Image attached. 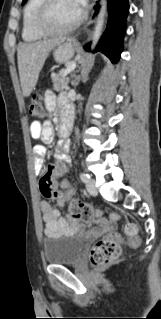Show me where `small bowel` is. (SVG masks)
Segmentation results:
<instances>
[{"mask_svg": "<svg viewBox=\"0 0 161 319\" xmlns=\"http://www.w3.org/2000/svg\"><path fill=\"white\" fill-rule=\"evenodd\" d=\"M59 105L62 118L72 117V109L68 103L67 97L65 95L57 96L52 91H47L45 94V106L50 112L56 109V105ZM30 137L33 140H40L44 144H51L54 141V130L48 122L33 121L30 126ZM68 145L64 144L62 141L59 142L57 148L56 163L49 164L47 169L53 175H60L66 170L71 162V157L68 155ZM34 153V168L37 173H40L44 166V157L46 155V150L41 144L33 145ZM74 199V190L67 189L63 194V197L57 199V204L60 207L65 206ZM40 212L45 224V234L46 235H57L60 233L71 235L77 231H82L84 229L83 225L79 224L76 220L68 221L66 218L62 217L57 209H53L50 202L42 200L39 204ZM100 227L99 229L89 231L87 234L91 237H96L113 229V226L105 218H100L95 220Z\"/></svg>", "mask_w": 161, "mask_h": 319, "instance_id": "1", "label": "small bowel"}]
</instances>
